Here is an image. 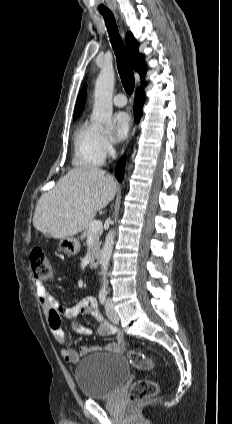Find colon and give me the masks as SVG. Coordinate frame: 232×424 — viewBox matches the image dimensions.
I'll return each instance as SVG.
<instances>
[{"label":"colon","mask_w":232,"mask_h":424,"mask_svg":"<svg viewBox=\"0 0 232 424\" xmlns=\"http://www.w3.org/2000/svg\"><path fill=\"white\" fill-rule=\"evenodd\" d=\"M31 270L35 279L40 281H51L55 276L54 268L49 257L41 249H34L30 254ZM130 363L137 369L154 371L155 362L141 352L128 351ZM158 392L156 378L140 379L135 381L129 389V398L132 402L151 398Z\"/></svg>","instance_id":"colon-1"}]
</instances>
